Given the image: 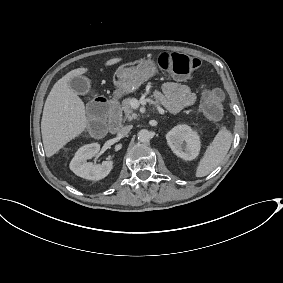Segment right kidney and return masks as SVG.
<instances>
[{
    "mask_svg": "<svg viewBox=\"0 0 283 283\" xmlns=\"http://www.w3.org/2000/svg\"><path fill=\"white\" fill-rule=\"evenodd\" d=\"M100 150L98 143H91L80 147L71 160L69 167L77 176L88 180H100L105 178L113 167L112 161H103L102 164L94 165L87 162Z\"/></svg>",
    "mask_w": 283,
    "mask_h": 283,
    "instance_id": "ca27d5eb",
    "label": "right kidney"
}]
</instances>
